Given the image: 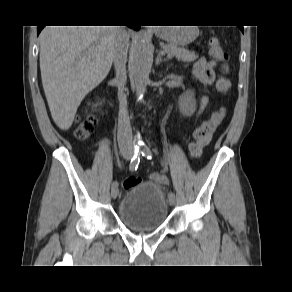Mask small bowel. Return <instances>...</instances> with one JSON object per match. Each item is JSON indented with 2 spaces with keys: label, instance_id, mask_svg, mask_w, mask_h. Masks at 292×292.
Wrapping results in <instances>:
<instances>
[{
  "label": "small bowel",
  "instance_id": "small-bowel-1",
  "mask_svg": "<svg viewBox=\"0 0 292 292\" xmlns=\"http://www.w3.org/2000/svg\"><path fill=\"white\" fill-rule=\"evenodd\" d=\"M216 62L207 60L206 58L198 59L193 66L192 77L203 85H210L215 78ZM208 97L202 96L199 100V110H204L208 105ZM151 179L160 185H167L168 179L160 173H153Z\"/></svg>",
  "mask_w": 292,
  "mask_h": 292
}]
</instances>
